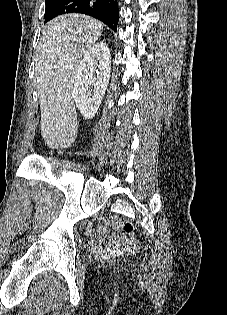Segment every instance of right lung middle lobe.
I'll return each instance as SVG.
<instances>
[{"label": "right lung middle lobe", "instance_id": "1", "mask_svg": "<svg viewBox=\"0 0 227 315\" xmlns=\"http://www.w3.org/2000/svg\"><path fill=\"white\" fill-rule=\"evenodd\" d=\"M49 1H51V0H46V4H47Z\"/></svg>", "mask_w": 227, "mask_h": 315}]
</instances>
